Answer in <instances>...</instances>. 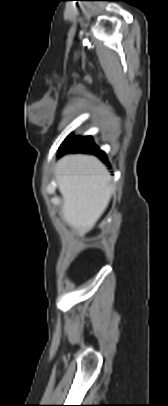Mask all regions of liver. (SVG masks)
<instances>
[{"instance_id": "liver-1", "label": "liver", "mask_w": 168, "mask_h": 406, "mask_svg": "<svg viewBox=\"0 0 168 406\" xmlns=\"http://www.w3.org/2000/svg\"><path fill=\"white\" fill-rule=\"evenodd\" d=\"M55 176L63 197L62 218L81 237L106 210L114 192L111 176L101 161L90 155L64 156Z\"/></svg>"}]
</instances>
